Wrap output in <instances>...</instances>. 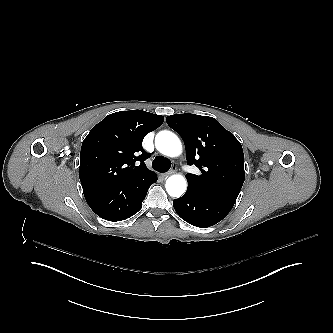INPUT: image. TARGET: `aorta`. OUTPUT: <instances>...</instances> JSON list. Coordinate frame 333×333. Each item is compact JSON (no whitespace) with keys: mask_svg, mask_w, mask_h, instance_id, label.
Segmentation results:
<instances>
[{"mask_svg":"<svg viewBox=\"0 0 333 333\" xmlns=\"http://www.w3.org/2000/svg\"><path fill=\"white\" fill-rule=\"evenodd\" d=\"M156 148L164 155L178 158L183 153L180 139L170 131L159 132L155 139ZM166 191L172 197H179L187 189V180L182 174L171 175L166 180Z\"/></svg>","mask_w":333,"mask_h":333,"instance_id":"762f6f07","label":"aorta"}]
</instances>
